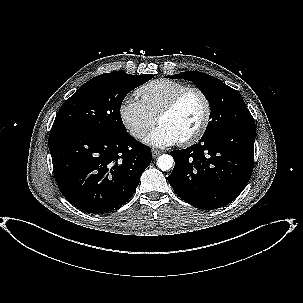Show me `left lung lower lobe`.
Here are the masks:
<instances>
[{
  "label": "left lung lower lobe",
  "instance_id": "obj_1",
  "mask_svg": "<svg viewBox=\"0 0 303 303\" xmlns=\"http://www.w3.org/2000/svg\"><path fill=\"white\" fill-rule=\"evenodd\" d=\"M255 134V125L229 128L202 137L186 149L171 151L175 167L169 184L196 208L213 210L229 204L251 177Z\"/></svg>",
  "mask_w": 303,
  "mask_h": 303
}]
</instances>
